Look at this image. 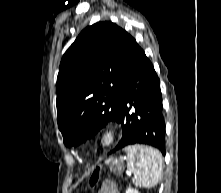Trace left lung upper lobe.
<instances>
[{
  "instance_id": "5c2ea615",
  "label": "left lung upper lobe",
  "mask_w": 221,
  "mask_h": 193,
  "mask_svg": "<svg viewBox=\"0 0 221 193\" xmlns=\"http://www.w3.org/2000/svg\"><path fill=\"white\" fill-rule=\"evenodd\" d=\"M139 45L112 22L85 28L64 54L57 77V122L66 146L93 137L120 119V89ZM142 124H157L151 107Z\"/></svg>"
}]
</instances>
